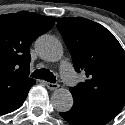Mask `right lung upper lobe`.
I'll return each mask as SVG.
<instances>
[{"label": "right lung upper lobe", "mask_w": 125, "mask_h": 125, "mask_svg": "<svg viewBox=\"0 0 125 125\" xmlns=\"http://www.w3.org/2000/svg\"><path fill=\"white\" fill-rule=\"evenodd\" d=\"M54 23V17L31 12L0 15V95L35 84L28 77L30 45Z\"/></svg>", "instance_id": "cb5924a9"}]
</instances>
